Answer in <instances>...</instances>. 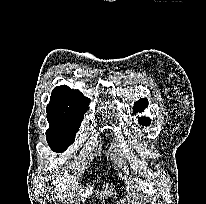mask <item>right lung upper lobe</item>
I'll list each match as a JSON object with an SVG mask.
<instances>
[{"mask_svg":"<svg viewBox=\"0 0 206 204\" xmlns=\"http://www.w3.org/2000/svg\"><path fill=\"white\" fill-rule=\"evenodd\" d=\"M90 99L80 91L72 90L66 85L56 87L51 95L47 111L62 112L84 117Z\"/></svg>","mask_w":206,"mask_h":204,"instance_id":"obj_1","label":"right lung upper lobe"}]
</instances>
